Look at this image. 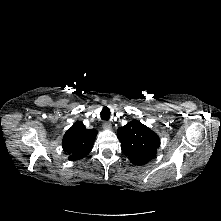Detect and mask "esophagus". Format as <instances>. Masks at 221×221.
I'll use <instances>...</instances> for the list:
<instances>
[{"label":"esophagus","mask_w":221,"mask_h":221,"mask_svg":"<svg viewBox=\"0 0 221 221\" xmlns=\"http://www.w3.org/2000/svg\"><path fill=\"white\" fill-rule=\"evenodd\" d=\"M112 125L110 122L106 121L103 123V128L104 129H111Z\"/></svg>","instance_id":"esophagus-1"}]
</instances>
